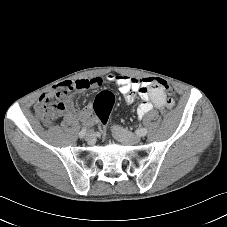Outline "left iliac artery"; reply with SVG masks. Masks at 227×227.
<instances>
[{
    "mask_svg": "<svg viewBox=\"0 0 227 227\" xmlns=\"http://www.w3.org/2000/svg\"><path fill=\"white\" fill-rule=\"evenodd\" d=\"M139 134H140V136H145V135L147 134V129L141 128V129L139 130Z\"/></svg>",
    "mask_w": 227,
    "mask_h": 227,
    "instance_id": "1",
    "label": "left iliac artery"
}]
</instances>
